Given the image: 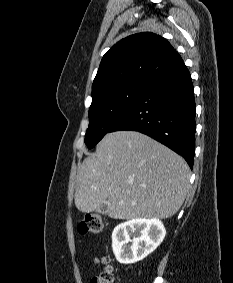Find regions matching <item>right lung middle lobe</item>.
Here are the masks:
<instances>
[{
  "instance_id": "1",
  "label": "right lung middle lobe",
  "mask_w": 233,
  "mask_h": 283,
  "mask_svg": "<svg viewBox=\"0 0 233 283\" xmlns=\"http://www.w3.org/2000/svg\"><path fill=\"white\" fill-rule=\"evenodd\" d=\"M149 82L132 81L121 86L103 90L92 98L89 108V127L85 144L93 148L118 122L143 93Z\"/></svg>"
}]
</instances>
